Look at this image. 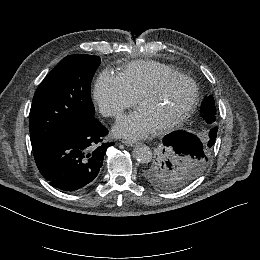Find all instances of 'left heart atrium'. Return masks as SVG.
I'll list each match as a JSON object with an SVG mask.
<instances>
[{
  "label": "left heart atrium",
  "instance_id": "obj_1",
  "mask_svg": "<svg viewBox=\"0 0 260 260\" xmlns=\"http://www.w3.org/2000/svg\"><path fill=\"white\" fill-rule=\"evenodd\" d=\"M154 129V124L142 108H137L121 119L114 127V133L129 139H140Z\"/></svg>",
  "mask_w": 260,
  "mask_h": 260
}]
</instances>
